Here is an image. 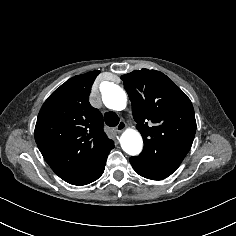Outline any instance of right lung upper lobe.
Instances as JSON below:
<instances>
[{"instance_id": "obj_1", "label": "right lung upper lobe", "mask_w": 236, "mask_h": 236, "mask_svg": "<svg viewBox=\"0 0 236 236\" xmlns=\"http://www.w3.org/2000/svg\"><path fill=\"white\" fill-rule=\"evenodd\" d=\"M100 71L77 75L57 88L42 105L35 140L44 159L60 177L94 169L114 148L103 131V117L89 103Z\"/></svg>"}]
</instances>
